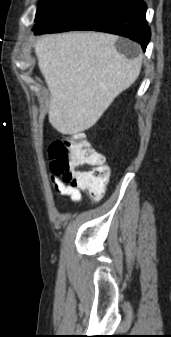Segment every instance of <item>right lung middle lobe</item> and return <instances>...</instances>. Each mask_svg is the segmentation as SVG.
<instances>
[{
  "mask_svg": "<svg viewBox=\"0 0 171 337\" xmlns=\"http://www.w3.org/2000/svg\"><path fill=\"white\" fill-rule=\"evenodd\" d=\"M70 0H39L33 30L59 13Z\"/></svg>",
  "mask_w": 171,
  "mask_h": 337,
  "instance_id": "dd1d6c3e",
  "label": "right lung middle lobe"
}]
</instances>
